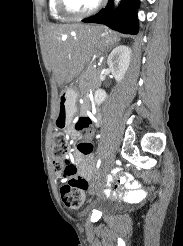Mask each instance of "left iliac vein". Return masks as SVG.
<instances>
[{
	"mask_svg": "<svg viewBox=\"0 0 183 246\" xmlns=\"http://www.w3.org/2000/svg\"><path fill=\"white\" fill-rule=\"evenodd\" d=\"M114 162H115V155H114V153H112V154L108 157V159H107V161H106V163H105V170L110 169V168L114 165Z\"/></svg>",
	"mask_w": 183,
	"mask_h": 246,
	"instance_id": "4c4485c4",
	"label": "left iliac vein"
}]
</instances>
